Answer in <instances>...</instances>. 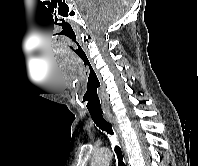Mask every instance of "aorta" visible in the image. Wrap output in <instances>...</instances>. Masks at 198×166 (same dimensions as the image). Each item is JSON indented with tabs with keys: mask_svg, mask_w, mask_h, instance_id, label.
Masks as SVG:
<instances>
[{
	"mask_svg": "<svg viewBox=\"0 0 198 166\" xmlns=\"http://www.w3.org/2000/svg\"><path fill=\"white\" fill-rule=\"evenodd\" d=\"M111 159L112 153L110 150H100L94 155L91 166H109Z\"/></svg>",
	"mask_w": 198,
	"mask_h": 166,
	"instance_id": "1",
	"label": "aorta"
}]
</instances>
